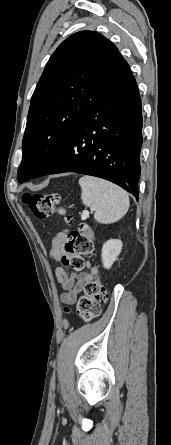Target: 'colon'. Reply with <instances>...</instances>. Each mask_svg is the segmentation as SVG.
<instances>
[{"instance_id":"colon-1","label":"colon","mask_w":171,"mask_h":445,"mask_svg":"<svg viewBox=\"0 0 171 445\" xmlns=\"http://www.w3.org/2000/svg\"><path fill=\"white\" fill-rule=\"evenodd\" d=\"M24 203L32 214L39 219H46L53 215H62L66 224H71L73 218L59 206L60 197L57 193H27L23 197ZM92 230L86 224H81L77 230L69 233L65 244V255L61 264L74 270L84 266V256L92 254L94 244ZM94 277L85 283L84 293L77 303V314L86 321L97 318L101 313L100 305L108 300V292L93 271ZM69 312V309H66Z\"/></svg>"}]
</instances>
